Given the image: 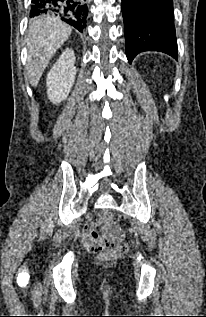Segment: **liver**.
<instances>
[{"label":"liver","instance_id":"obj_1","mask_svg":"<svg viewBox=\"0 0 206 317\" xmlns=\"http://www.w3.org/2000/svg\"><path fill=\"white\" fill-rule=\"evenodd\" d=\"M72 28L60 19L46 15L33 20L27 34V74L36 87L45 68L61 45L70 37Z\"/></svg>","mask_w":206,"mask_h":317}]
</instances>
